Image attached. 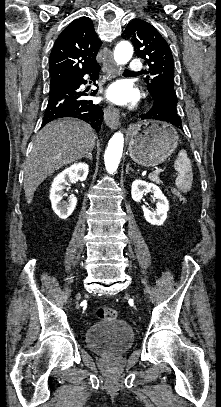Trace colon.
Masks as SVG:
<instances>
[{"instance_id":"obj_1","label":"colon","mask_w":221,"mask_h":407,"mask_svg":"<svg viewBox=\"0 0 221 407\" xmlns=\"http://www.w3.org/2000/svg\"><path fill=\"white\" fill-rule=\"evenodd\" d=\"M97 318L100 320H114L116 318V311L112 308L101 307L96 311Z\"/></svg>"}]
</instances>
